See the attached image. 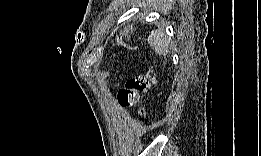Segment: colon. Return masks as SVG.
Here are the masks:
<instances>
[{
	"mask_svg": "<svg viewBox=\"0 0 261 156\" xmlns=\"http://www.w3.org/2000/svg\"><path fill=\"white\" fill-rule=\"evenodd\" d=\"M155 82L156 72L154 70L128 78L118 92V102L123 107L136 108L140 115L145 116L146 108L140 104L141 95L146 93Z\"/></svg>",
	"mask_w": 261,
	"mask_h": 156,
	"instance_id": "1",
	"label": "colon"
}]
</instances>
